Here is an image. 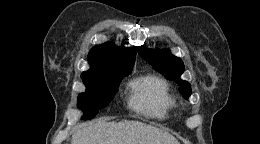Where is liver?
<instances>
[{
	"label": "liver",
	"mask_w": 260,
	"mask_h": 144,
	"mask_svg": "<svg viewBox=\"0 0 260 144\" xmlns=\"http://www.w3.org/2000/svg\"><path fill=\"white\" fill-rule=\"evenodd\" d=\"M72 144H180L170 133L140 121L83 125L72 135Z\"/></svg>",
	"instance_id": "6515ba94"
}]
</instances>
